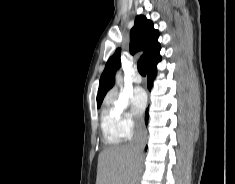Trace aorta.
Returning a JSON list of instances; mask_svg holds the SVG:
<instances>
[{
	"mask_svg": "<svg viewBox=\"0 0 235 184\" xmlns=\"http://www.w3.org/2000/svg\"><path fill=\"white\" fill-rule=\"evenodd\" d=\"M122 82H123V78L121 76V72H117V74H116V84H117V86H119V88H122Z\"/></svg>",
	"mask_w": 235,
	"mask_h": 184,
	"instance_id": "1",
	"label": "aorta"
}]
</instances>
